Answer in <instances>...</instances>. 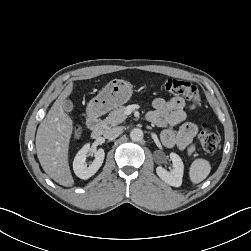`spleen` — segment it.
Masks as SVG:
<instances>
[{"label": "spleen", "instance_id": "1", "mask_svg": "<svg viewBox=\"0 0 251 251\" xmlns=\"http://www.w3.org/2000/svg\"><path fill=\"white\" fill-rule=\"evenodd\" d=\"M211 166L208 161L196 159L190 166L189 177L192 183L198 184L203 181L210 173Z\"/></svg>", "mask_w": 251, "mask_h": 251}]
</instances>
